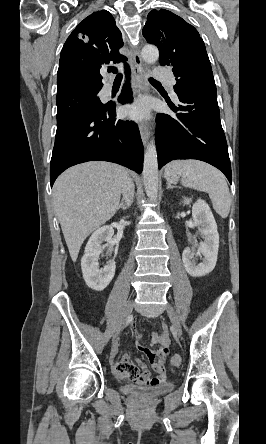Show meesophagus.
I'll use <instances>...</instances> for the list:
<instances>
[{
    "instance_id": "34e87169",
    "label": "esophagus",
    "mask_w": 266,
    "mask_h": 444,
    "mask_svg": "<svg viewBox=\"0 0 266 444\" xmlns=\"http://www.w3.org/2000/svg\"><path fill=\"white\" fill-rule=\"evenodd\" d=\"M132 68H133L134 75L140 85L144 80V69H143V62H142V58L140 55V51L138 49H135L133 51ZM139 130H140L142 142L144 145H146L149 140V137H150L149 127L145 123H140Z\"/></svg>"
}]
</instances>
